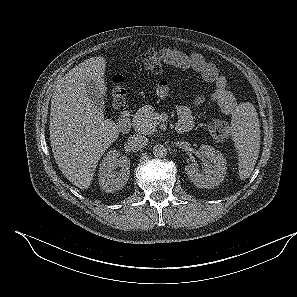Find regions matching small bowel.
<instances>
[{
    "mask_svg": "<svg viewBox=\"0 0 297 297\" xmlns=\"http://www.w3.org/2000/svg\"><path fill=\"white\" fill-rule=\"evenodd\" d=\"M160 53L167 64L184 70H193L199 73L206 82L215 84V88L210 94V100L217 104L224 114L234 115L238 111V102L230 91L227 80L214 63L205 59L200 53L188 54L173 48H164ZM157 94L160 98H166L169 95V83L166 80L159 82ZM204 100L205 96H198L195 98L194 104L200 105ZM177 114L178 124L185 123L192 128L193 117L188 106H178Z\"/></svg>",
    "mask_w": 297,
    "mask_h": 297,
    "instance_id": "obj_1",
    "label": "small bowel"
}]
</instances>
